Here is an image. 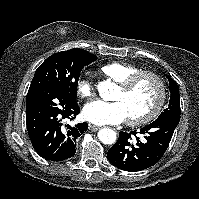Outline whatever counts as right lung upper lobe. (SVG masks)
I'll use <instances>...</instances> for the list:
<instances>
[{"mask_svg": "<svg viewBox=\"0 0 199 199\" xmlns=\"http://www.w3.org/2000/svg\"><path fill=\"white\" fill-rule=\"evenodd\" d=\"M70 50L75 51V52H82V51H85V50H83V49H77V48H75V49H70Z\"/></svg>", "mask_w": 199, "mask_h": 199, "instance_id": "right-lung-upper-lobe-1", "label": "right lung upper lobe"}]
</instances>
